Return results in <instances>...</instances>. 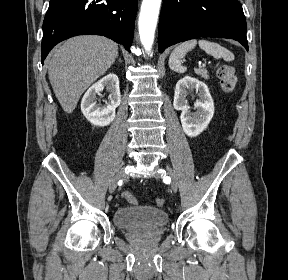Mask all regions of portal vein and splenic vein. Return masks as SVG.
I'll return each instance as SVG.
<instances>
[{"instance_id": "obj_1", "label": "portal vein and splenic vein", "mask_w": 288, "mask_h": 280, "mask_svg": "<svg viewBox=\"0 0 288 280\" xmlns=\"http://www.w3.org/2000/svg\"><path fill=\"white\" fill-rule=\"evenodd\" d=\"M198 66H199V67H204L205 64L198 63Z\"/></svg>"}]
</instances>
